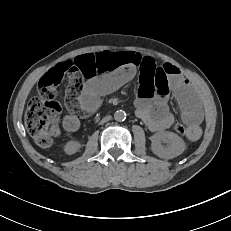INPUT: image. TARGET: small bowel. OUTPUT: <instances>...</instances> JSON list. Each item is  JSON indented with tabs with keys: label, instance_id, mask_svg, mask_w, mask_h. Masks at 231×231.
Returning a JSON list of instances; mask_svg holds the SVG:
<instances>
[{
	"label": "small bowel",
	"instance_id": "1",
	"mask_svg": "<svg viewBox=\"0 0 231 231\" xmlns=\"http://www.w3.org/2000/svg\"><path fill=\"white\" fill-rule=\"evenodd\" d=\"M136 73L140 84L135 100L136 115L152 131L169 128L174 117L167 98L172 91L181 106L182 117L190 126V140L201 135L202 111L197 97L181 71L172 64H157L150 56L136 52H96L75 57L57 64L42 79L54 84L66 75V107L63 118L67 131H76L80 117L93 113L100 104V97L128 83Z\"/></svg>",
	"mask_w": 231,
	"mask_h": 231
}]
</instances>
